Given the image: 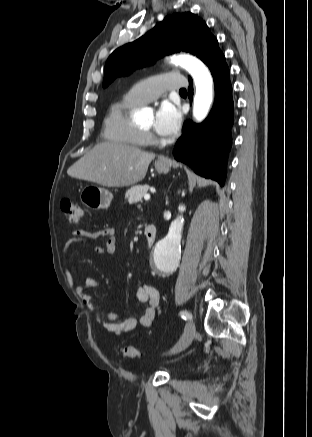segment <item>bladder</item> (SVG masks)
<instances>
[{
  "instance_id": "bladder-1",
  "label": "bladder",
  "mask_w": 312,
  "mask_h": 437,
  "mask_svg": "<svg viewBox=\"0 0 312 437\" xmlns=\"http://www.w3.org/2000/svg\"><path fill=\"white\" fill-rule=\"evenodd\" d=\"M173 371L176 372L178 371V368L176 366L173 367Z\"/></svg>"
}]
</instances>
